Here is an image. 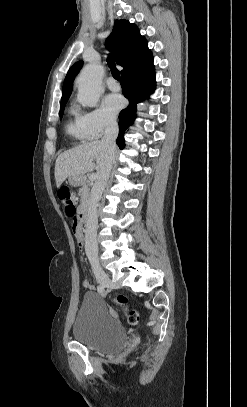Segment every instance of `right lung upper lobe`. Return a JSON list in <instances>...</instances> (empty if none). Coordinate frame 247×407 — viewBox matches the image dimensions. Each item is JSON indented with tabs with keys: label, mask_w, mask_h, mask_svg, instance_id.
<instances>
[{
	"label": "right lung upper lobe",
	"mask_w": 247,
	"mask_h": 407,
	"mask_svg": "<svg viewBox=\"0 0 247 407\" xmlns=\"http://www.w3.org/2000/svg\"><path fill=\"white\" fill-rule=\"evenodd\" d=\"M105 45L112 49L116 63L124 67L121 74L152 56L147 41L140 35L137 26L127 20L115 21ZM82 65L83 61H79L69 69L63 84L62 102L70 97L74 78Z\"/></svg>",
	"instance_id": "cb5924a9"
}]
</instances>
